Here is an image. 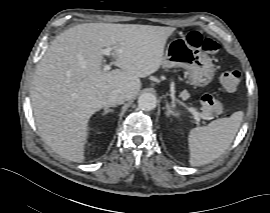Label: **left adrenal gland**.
<instances>
[{"mask_svg":"<svg viewBox=\"0 0 270 213\" xmlns=\"http://www.w3.org/2000/svg\"><path fill=\"white\" fill-rule=\"evenodd\" d=\"M165 114L167 115V116H170V115H176L175 114V112L171 109V107H170V105H169V103L167 102L166 103V112H165Z\"/></svg>","mask_w":270,"mask_h":213,"instance_id":"a2214340","label":"left adrenal gland"}]
</instances>
